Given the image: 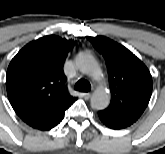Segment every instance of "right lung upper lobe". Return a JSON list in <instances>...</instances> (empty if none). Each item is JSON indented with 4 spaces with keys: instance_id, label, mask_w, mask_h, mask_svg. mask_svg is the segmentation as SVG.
Segmentation results:
<instances>
[{
    "instance_id": "1",
    "label": "right lung upper lobe",
    "mask_w": 165,
    "mask_h": 154,
    "mask_svg": "<svg viewBox=\"0 0 165 154\" xmlns=\"http://www.w3.org/2000/svg\"><path fill=\"white\" fill-rule=\"evenodd\" d=\"M74 41L55 35L42 37L22 48L7 69L6 88L20 118L70 96L63 65Z\"/></svg>"
}]
</instances>
